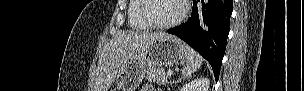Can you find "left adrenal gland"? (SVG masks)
I'll return each instance as SVG.
<instances>
[{"instance_id": "a2214340", "label": "left adrenal gland", "mask_w": 304, "mask_h": 91, "mask_svg": "<svg viewBox=\"0 0 304 91\" xmlns=\"http://www.w3.org/2000/svg\"><path fill=\"white\" fill-rule=\"evenodd\" d=\"M181 79H182V78H179V79L176 80V81L170 82L169 86L172 85V84H174V83H178L179 81H181ZM169 86H168V90H169Z\"/></svg>"}]
</instances>
